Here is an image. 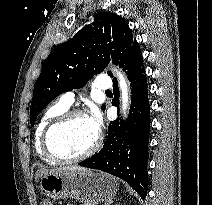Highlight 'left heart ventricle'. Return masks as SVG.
<instances>
[{
  "mask_svg": "<svg viewBox=\"0 0 212 205\" xmlns=\"http://www.w3.org/2000/svg\"><path fill=\"white\" fill-rule=\"evenodd\" d=\"M96 136L86 117H75L56 131L53 145L59 154L74 157L86 151Z\"/></svg>",
  "mask_w": 212,
  "mask_h": 205,
  "instance_id": "1",
  "label": "left heart ventricle"
}]
</instances>
